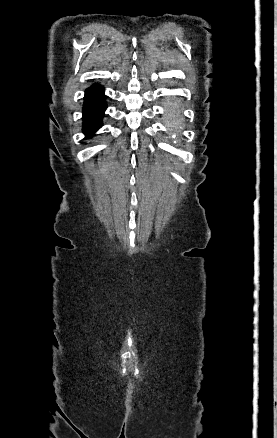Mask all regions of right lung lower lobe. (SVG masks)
I'll return each instance as SVG.
<instances>
[{"label": "right lung lower lobe", "mask_w": 277, "mask_h": 438, "mask_svg": "<svg viewBox=\"0 0 277 438\" xmlns=\"http://www.w3.org/2000/svg\"><path fill=\"white\" fill-rule=\"evenodd\" d=\"M104 98L103 88L99 85H93L86 90L83 107V131L88 137L102 125V118L106 109Z\"/></svg>", "instance_id": "obj_1"}]
</instances>
